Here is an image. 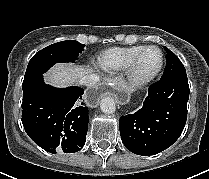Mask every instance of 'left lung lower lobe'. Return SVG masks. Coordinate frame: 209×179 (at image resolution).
<instances>
[{
	"mask_svg": "<svg viewBox=\"0 0 209 179\" xmlns=\"http://www.w3.org/2000/svg\"><path fill=\"white\" fill-rule=\"evenodd\" d=\"M189 85L186 74L160 79L148 89L143 107L119 119L125 147L137 155H153L170 147L187 119Z\"/></svg>",
	"mask_w": 209,
	"mask_h": 179,
	"instance_id": "left-lung-lower-lobe-1",
	"label": "left lung lower lobe"
}]
</instances>
